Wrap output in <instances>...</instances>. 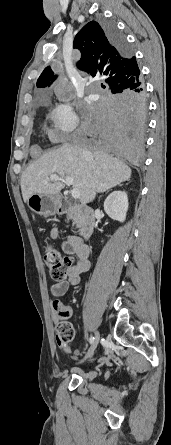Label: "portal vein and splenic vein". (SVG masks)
<instances>
[{
    "mask_svg": "<svg viewBox=\"0 0 171 445\" xmlns=\"http://www.w3.org/2000/svg\"><path fill=\"white\" fill-rule=\"evenodd\" d=\"M61 177H65V182L67 185H73L74 181L71 177L69 176H65V175H51L50 177L46 178L44 180L45 183L51 181V180H59ZM71 195L74 199H79L80 198V191L78 188H73L71 190Z\"/></svg>",
    "mask_w": 171,
    "mask_h": 445,
    "instance_id": "18ae733b",
    "label": "portal vein and splenic vein"
}]
</instances>
